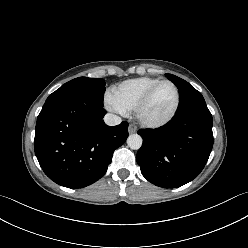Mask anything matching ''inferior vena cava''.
<instances>
[{
    "label": "inferior vena cava",
    "mask_w": 248,
    "mask_h": 248,
    "mask_svg": "<svg viewBox=\"0 0 248 248\" xmlns=\"http://www.w3.org/2000/svg\"><path fill=\"white\" fill-rule=\"evenodd\" d=\"M121 118L117 115L108 113L104 116V122L109 126H115L121 123Z\"/></svg>",
    "instance_id": "602c4592"
}]
</instances>
